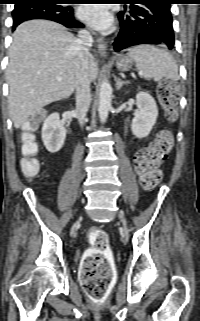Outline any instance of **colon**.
<instances>
[{"instance_id":"5ec220e1","label":"colon","mask_w":200,"mask_h":321,"mask_svg":"<svg viewBox=\"0 0 200 321\" xmlns=\"http://www.w3.org/2000/svg\"><path fill=\"white\" fill-rule=\"evenodd\" d=\"M180 85L173 80L159 84L157 94L167 119L175 121L178 114V98ZM42 113H37L34 120L26 122L19 133V141L23 159L21 169L27 177H33L39 171L40 163L36 158L39 143L35 131ZM173 146L170 131L161 130L154 140L141 149L134 158V166L140 177L143 188L151 190L161 179L160 165L168 157ZM90 245L80 268V281L84 290L95 301L103 300L112 281V263L109 254L108 234L100 228H91L87 233Z\"/></svg>"}]
</instances>
